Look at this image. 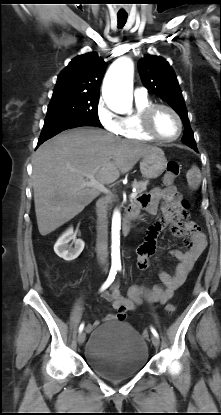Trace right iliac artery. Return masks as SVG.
Listing matches in <instances>:
<instances>
[{"mask_svg":"<svg viewBox=\"0 0 221 415\" xmlns=\"http://www.w3.org/2000/svg\"><path fill=\"white\" fill-rule=\"evenodd\" d=\"M117 270H118V268H117V267H111V269H110V273H109V276H108L107 280L105 281V283L102 285V287H101L100 291H103L104 289H106L107 287H109V286H110V284H111V283L114 281V279H115V276H116V274H117ZM83 328H84V323H82V324L79 326V332H82Z\"/></svg>","mask_w":221,"mask_h":415,"instance_id":"82829eb1","label":"right iliac artery"}]
</instances>
